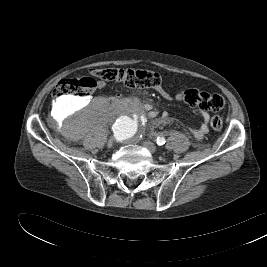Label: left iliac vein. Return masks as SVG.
<instances>
[{
    "label": "left iliac vein",
    "mask_w": 267,
    "mask_h": 267,
    "mask_svg": "<svg viewBox=\"0 0 267 267\" xmlns=\"http://www.w3.org/2000/svg\"><path fill=\"white\" fill-rule=\"evenodd\" d=\"M142 145L151 153H155L157 151L156 145L150 141H144Z\"/></svg>",
    "instance_id": "obj_1"
}]
</instances>
